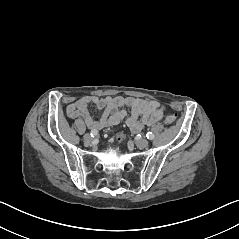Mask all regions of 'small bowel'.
<instances>
[{
	"instance_id": "c3829d8e",
	"label": "small bowel",
	"mask_w": 239,
	"mask_h": 239,
	"mask_svg": "<svg viewBox=\"0 0 239 239\" xmlns=\"http://www.w3.org/2000/svg\"><path fill=\"white\" fill-rule=\"evenodd\" d=\"M91 103L103 110L98 120L88 111V105ZM124 106L130 108V113L122 108ZM164 111L165 107L157 101L123 96H84L70 103L66 109L70 118H82L89 129L100 130L117 125L126 119L127 125L134 133L158 122L163 117Z\"/></svg>"
}]
</instances>
